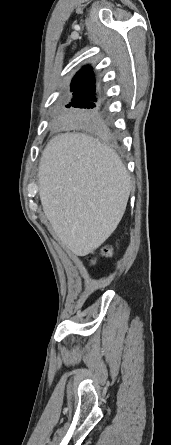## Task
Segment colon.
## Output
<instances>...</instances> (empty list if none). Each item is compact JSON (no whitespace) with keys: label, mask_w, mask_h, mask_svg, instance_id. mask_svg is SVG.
Listing matches in <instances>:
<instances>
[{"label":"colon","mask_w":171,"mask_h":445,"mask_svg":"<svg viewBox=\"0 0 171 445\" xmlns=\"http://www.w3.org/2000/svg\"><path fill=\"white\" fill-rule=\"evenodd\" d=\"M105 252L110 253V249L109 248L105 249Z\"/></svg>","instance_id":"1"}]
</instances>
